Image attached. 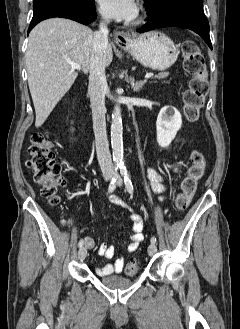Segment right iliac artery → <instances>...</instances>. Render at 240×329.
I'll return each mask as SVG.
<instances>
[{"instance_id":"obj_1","label":"right iliac artery","mask_w":240,"mask_h":329,"mask_svg":"<svg viewBox=\"0 0 240 329\" xmlns=\"http://www.w3.org/2000/svg\"><path fill=\"white\" fill-rule=\"evenodd\" d=\"M118 168V167H117ZM116 168V170H117ZM116 188V176H114L109 184V187H108V192L111 193L115 190ZM83 244H84V241L81 239L78 243V247H83Z\"/></svg>"}]
</instances>
